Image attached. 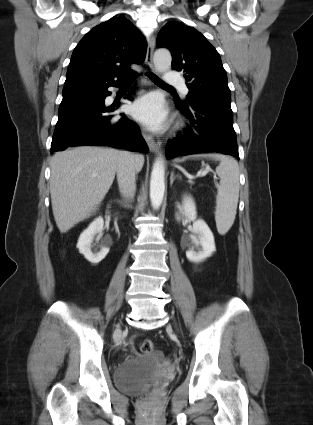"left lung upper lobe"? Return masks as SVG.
I'll return each mask as SVG.
<instances>
[{"mask_svg": "<svg viewBox=\"0 0 313 425\" xmlns=\"http://www.w3.org/2000/svg\"><path fill=\"white\" fill-rule=\"evenodd\" d=\"M157 46L168 48L172 53V68L184 72L188 102L200 99L231 102L221 58L200 32L177 21L168 22L158 35Z\"/></svg>", "mask_w": 313, "mask_h": 425, "instance_id": "5c2ea615", "label": "left lung upper lobe"}]
</instances>
